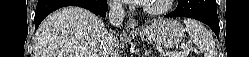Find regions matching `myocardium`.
Masks as SVG:
<instances>
[{
    "mask_svg": "<svg viewBox=\"0 0 249 57\" xmlns=\"http://www.w3.org/2000/svg\"><path fill=\"white\" fill-rule=\"evenodd\" d=\"M174 0H164L160 5H153L151 3L143 4V11L149 15H161L168 12L173 4Z\"/></svg>",
    "mask_w": 249,
    "mask_h": 57,
    "instance_id": "1",
    "label": "myocardium"
}]
</instances>
